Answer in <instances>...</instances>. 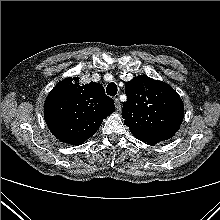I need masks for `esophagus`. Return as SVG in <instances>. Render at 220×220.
Here are the masks:
<instances>
[{"label":"esophagus","mask_w":220,"mask_h":220,"mask_svg":"<svg viewBox=\"0 0 220 220\" xmlns=\"http://www.w3.org/2000/svg\"><path fill=\"white\" fill-rule=\"evenodd\" d=\"M114 102H115L116 110L120 111L122 107H121V103H120L119 99L115 98Z\"/></svg>","instance_id":"1"}]
</instances>
